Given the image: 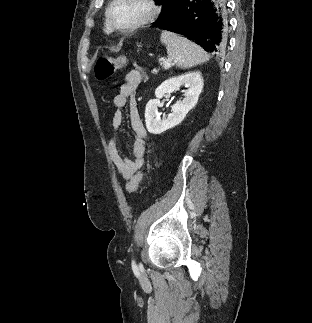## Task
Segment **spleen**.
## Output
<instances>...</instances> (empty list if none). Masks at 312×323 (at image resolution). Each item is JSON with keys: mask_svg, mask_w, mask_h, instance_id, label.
<instances>
[{"mask_svg": "<svg viewBox=\"0 0 312 323\" xmlns=\"http://www.w3.org/2000/svg\"><path fill=\"white\" fill-rule=\"evenodd\" d=\"M160 40L162 44H166L167 58L173 60L174 64L178 68H183V70L185 68H193V66H198V64H204L210 58L203 48L193 44L187 38H181L179 34H174V32L162 30Z\"/></svg>", "mask_w": 312, "mask_h": 323, "instance_id": "1", "label": "spleen"}]
</instances>
